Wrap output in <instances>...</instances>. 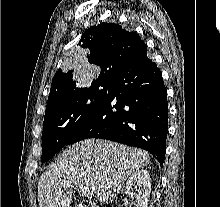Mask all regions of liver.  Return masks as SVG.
<instances>
[{
	"instance_id": "1",
	"label": "liver",
	"mask_w": 220,
	"mask_h": 207,
	"mask_svg": "<svg viewBox=\"0 0 220 207\" xmlns=\"http://www.w3.org/2000/svg\"><path fill=\"white\" fill-rule=\"evenodd\" d=\"M146 152L116 142L87 139L70 146L42 174L38 182L39 207H72L73 191L64 183L77 181L93 191L101 203H110L134 172L148 165Z\"/></svg>"
}]
</instances>
